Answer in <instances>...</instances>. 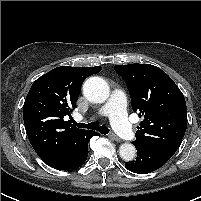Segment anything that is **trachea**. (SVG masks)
<instances>
[{
    "label": "trachea",
    "instance_id": "3493384b",
    "mask_svg": "<svg viewBox=\"0 0 201 201\" xmlns=\"http://www.w3.org/2000/svg\"><path fill=\"white\" fill-rule=\"evenodd\" d=\"M75 126L91 130H98L101 134H108L109 129L105 125L100 126L98 122H91L89 124L73 122Z\"/></svg>",
    "mask_w": 201,
    "mask_h": 201
}]
</instances>
